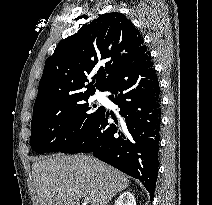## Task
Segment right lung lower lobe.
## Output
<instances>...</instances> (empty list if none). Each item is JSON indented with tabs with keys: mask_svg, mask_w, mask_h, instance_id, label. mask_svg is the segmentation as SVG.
Listing matches in <instances>:
<instances>
[{
	"mask_svg": "<svg viewBox=\"0 0 212 205\" xmlns=\"http://www.w3.org/2000/svg\"><path fill=\"white\" fill-rule=\"evenodd\" d=\"M104 91L120 107L121 121L109 124L105 109L93 125L59 152L94 155L139 179L154 196L158 176V150L161 126V98L156 70L150 52L121 69Z\"/></svg>",
	"mask_w": 212,
	"mask_h": 205,
	"instance_id": "98d812e1",
	"label": "right lung lower lobe"
}]
</instances>
